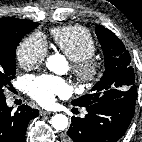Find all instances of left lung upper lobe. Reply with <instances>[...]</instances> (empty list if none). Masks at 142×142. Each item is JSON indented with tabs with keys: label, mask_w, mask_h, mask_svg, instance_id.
Segmentation results:
<instances>
[{
	"label": "left lung upper lobe",
	"mask_w": 142,
	"mask_h": 142,
	"mask_svg": "<svg viewBox=\"0 0 142 142\" xmlns=\"http://www.w3.org/2000/svg\"><path fill=\"white\" fill-rule=\"evenodd\" d=\"M97 37L102 46L105 58V72L90 94L79 97L71 103L86 107L124 97L137 98L134 70L130 65L131 57L124 44L110 30L99 25L96 27Z\"/></svg>",
	"instance_id": "5c2ea615"
}]
</instances>
